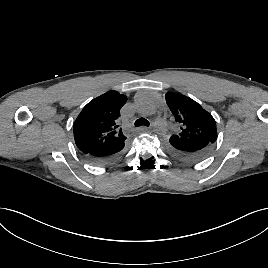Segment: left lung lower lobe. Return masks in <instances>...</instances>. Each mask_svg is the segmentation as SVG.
Instances as JSON below:
<instances>
[{
    "instance_id": "1",
    "label": "left lung lower lobe",
    "mask_w": 268,
    "mask_h": 268,
    "mask_svg": "<svg viewBox=\"0 0 268 268\" xmlns=\"http://www.w3.org/2000/svg\"><path fill=\"white\" fill-rule=\"evenodd\" d=\"M165 146L173 157L184 162L193 163L205 159L210 154L214 143L204 139L170 137L166 140Z\"/></svg>"
}]
</instances>
